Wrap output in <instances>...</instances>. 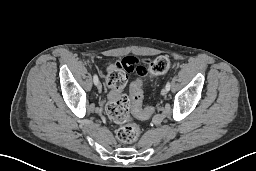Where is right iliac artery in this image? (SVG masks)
Segmentation results:
<instances>
[{"label":"right iliac artery","mask_w":256,"mask_h":171,"mask_svg":"<svg viewBox=\"0 0 256 171\" xmlns=\"http://www.w3.org/2000/svg\"><path fill=\"white\" fill-rule=\"evenodd\" d=\"M93 81L95 85H97V83L99 82L98 76L96 74L93 76Z\"/></svg>","instance_id":"1"}]
</instances>
